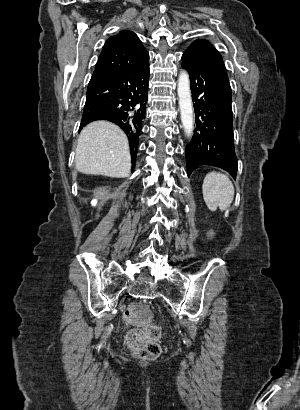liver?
<instances>
[{
    "mask_svg": "<svg viewBox=\"0 0 300 410\" xmlns=\"http://www.w3.org/2000/svg\"><path fill=\"white\" fill-rule=\"evenodd\" d=\"M75 165L84 174L128 177L131 156L127 136L117 125L107 121L88 124L78 138Z\"/></svg>",
    "mask_w": 300,
    "mask_h": 410,
    "instance_id": "6515ba94",
    "label": "liver"
}]
</instances>
